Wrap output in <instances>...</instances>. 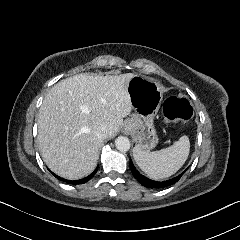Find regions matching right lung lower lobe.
Returning <instances> with one entry per match:
<instances>
[{
  "label": "right lung lower lobe",
  "mask_w": 240,
  "mask_h": 240,
  "mask_svg": "<svg viewBox=\"0 0 240 240\" xmlns=\"http://www.w3.org/2000/svg\"><path fill=\"white\" fill-rule=\"evenodd\" d=\"M97 172V169H95L94 172H92L89 176L81 179V180H76V181H71V180H66V179H63L57 175H55L54 173H52L56 178H58L59 180L63 181V182H66V183H71V184H83V183H86L88 180H90Z\"/></svg>",
  "instance_id": "obj_1"
}]
</instances>
